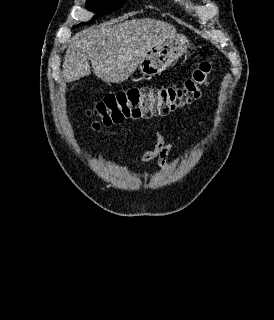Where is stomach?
<instances>
[{
  "instance_id": "0dacf381",
  "label": "stomach",
  "mask_w": 274,
  "mask_h": 320,
  "mask_svg": "<svg viewBox=\"0 0 274 320\" xmlns=\"http://www.w3.org/2000/svg\"><path fill=\"white\" fill-rule=\"evenodd\" d=\"M188 40L183 34H171L157 46L150 48L146 58L139 62V70L143 76L152 78L162 74L173 62L184 56L188 50Z\"/></svg>"
}]
</instances>
